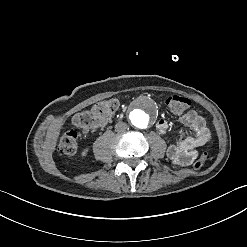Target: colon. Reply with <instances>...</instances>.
I'll return each mask as SVG.
<instances>
[{
  "label": "colon",
  "mask_w": 247,
  "mask_h": 247,
  "mask_svg": "<svg viewBox=\"0 0 247 247\" xmlns=\"http://www.w3.org/2000/svg\"><path fill=\"white\" fill-rule=\"evenodd\" d=\"M118 103V98L116 96H106L104 100H100L97 107H90V115H76L74 117V122L78 125L89 126L95 124V119L98 122H107L109 116H113L115 113V108ZM189 100L186 97H170L166 101V106L172 110L175 114H180L183 110L189 107ZM79 134L75 129H70L64 133L58 145L59 153L63 155H72L76 152L78 146ZM208 159L207 149L203 151L198 159L193 163V168L195 170H200L203 168L204 164Z\"/></svg>",
  "instance_id": "obj_1"
}]
</instances>
